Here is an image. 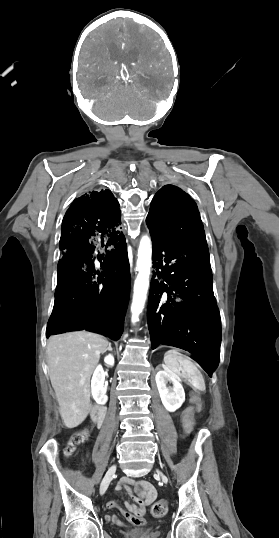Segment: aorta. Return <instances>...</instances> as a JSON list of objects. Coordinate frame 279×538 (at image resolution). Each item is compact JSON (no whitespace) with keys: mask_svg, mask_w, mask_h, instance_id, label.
<instances>
[{"mask_svg":"<svg viewBox=\"0 0 279 538\" xmlns=\"http://www.w3.org/2000/svg\"><path fill=\"white\" fill-rule=\"evenodd\" d=\"M152 245L151 240L147 235L142 236L138 247L137 270L138 274L134 283V293L131 305V321L133 323L139 321L149 287V276L151 267Z\"/></svg>","mask_w":279,"mask_h":538,"instance_id":"762f6f07","label":"aorta"}]
</instances>
